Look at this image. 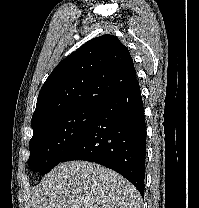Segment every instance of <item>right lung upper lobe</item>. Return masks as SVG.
<instances>
[{"label":"right lung upper lobe","mask_w":199,"mask_h":208,"mask_svg":"<svg viewBox=\"0 0 199 208\" xmlns=\"http://www.w3.org/2000/svg\"><path fill=\"white\" fill-rule=\"evenodd\" d=\"M137 81L128 49L113 35L94 38L62 60L42 86L32 127L78 107L99 106Z\"/></svg>","instance_id":"obj_1"}]
</instances>
